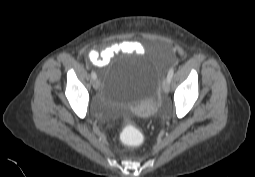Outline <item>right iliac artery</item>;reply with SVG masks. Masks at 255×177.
Wrapping results in <instances>:
<instances>
[{"label":"right iliac artery","mask_w":255,"mask_h":177,"mask_svg":"<svg viewBox=\"0 0 255 177\" xmlns=\"http://www.w3.org/2000/svg\"><path fill=\"white\" fill-rule=\"evenodd\" d=\"M91 77H92L93 79H96V78H97V75H96V73H95L94 71L91 72Z\"/></svg>","instance_id":"obj_1"}]
</instances>
